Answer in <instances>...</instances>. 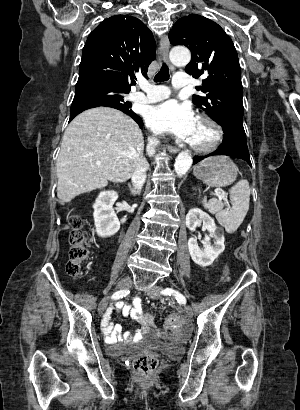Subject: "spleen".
<instances>
[{"label": "spleen", "instance_id": "1", "mask_svg": "<svg viewBox=\"0 0 300 410\" xmlns=\"http://www.w3.org/2000/svg\"><path fill=\"white\" fill-rule=\"evenodd\" d=\"M232 209H223L224 204L220 200L212 199L208 203V209L215 214L217 221L228 233H234L243 222L250 202V187L245 179L239 180L230 189Z\"/></svg>", "mask_w": 300, "mask_h": 410}]
</instances>
